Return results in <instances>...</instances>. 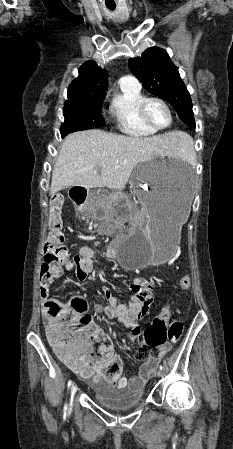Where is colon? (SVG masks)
Listing matches in <instances>:
<instances>
[{"mask_svg": "<svg viewBox=\"0 0 233 449\" xmlns=\"http://www.w3.org/2000/svg\"><path fill=\"white\" fill-rule=\"evenodd\" d=\"M63 200L59 196H54L50 200V215L48 224V233L44 242V262L43 265L58 262L69 261V248L65 244L63 234V219L61 215ZM190 277L184 276L178 279V289L182 294L190 288ZM87 303L84 299L76 298L72 303L73 313L69 319L64 322V317L58 303L48 301L44 304V317L48 322V338L57 354L70 367L77 368L81 360L76 358L66 343V337L76 334L74 344L78 351L85 352L93 350L95 343L99 344V357L105 354L101 347L112 345L107 336L100 335L96 327L92 324L89 315L84 314ZM183 325L177 319H172L168 309L163 308L162 312L155 316L144 333L138 338V342L143 352L139 354L142 358L144 353L150 352L154 348L167 347L170 343H176L182 336ZM106 365L107 361L102 360Z\"/></svg>", "mask_w": 233, "mask_h": 449, "instance_id": "1", "label": "colon"}]
</instances>
